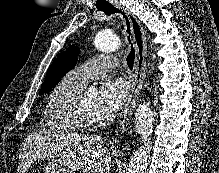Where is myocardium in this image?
Here are the masks:
<instances>
[{
  "instance_id": "1",
  "label": "myocardium",
  "mask_w": 219,
  "mask_h": 173,
  "mask_svg": "<svg viewBox=\"0 0 219 173\" xmlns=\"http://www.w3.org/2000/svg\"><path fill=\"white\" fill-rule=\"evenodd\" d=\"M81 97L82 95L79 94L73 102L74 115L84 127H96L100 123L99 119L93 118L86 113L81 104Z\"/></svg>"
}]
</instances>
